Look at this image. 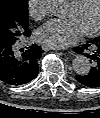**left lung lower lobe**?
Masks as SVG:
<instances>
[{
	"label": "left lung lower lobe",
	"instance_id": "0a47b994",
	"mask_svg": "<svg viewBox=\"0 0 100 118\" xmlns=\"http://www.w3.org/2000/svg\"><path fill=\"white\" fill-rule=\"evenodd\" d=\"M74 51L78 54H85L91 63L89 73L76 76V80L87 87H100V37L93 39L82 47L74 48Z\"/></svg>",
	"mask_w": 100,
	"mask_h": 118
}]
</instances>
